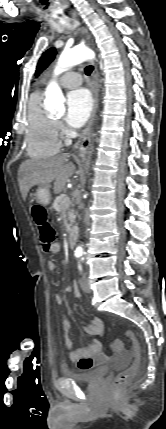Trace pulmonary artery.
Returning a JSON list of instances; mask_svg holds the SVG:
<instances>
[{
  "label": "pulmonary artery",
  "instance_id": "pulmonary-artery-1",
  "mask_svg": "<svg viewBox=\"0 0 166 429\" xmlns=\"http://www.w3.org/2000/svg\"><path fill=\"white\" fill-rule=\"evenodd\" d=\"M60 82L64 87L73 88L81 84L82 76L77 72H66L60 78Z\"/></svg>",
  "mask_w": 166,
  "mask_h": 429
}]
</instances>
